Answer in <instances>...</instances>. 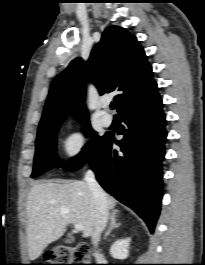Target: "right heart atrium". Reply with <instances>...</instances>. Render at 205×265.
<instances>
[{
  "label": "right heart atrium",
  "instance_id": "d8ad5b80",
  "mask_svg": "<svg viewBox=\"0 0 205 265\" xmlns=\"http://www.w3.org/2000/svg\"><path fill=\"white\" fill-rule=\"evenodd\" d=\"M85 146V136L81 130L70 132L63 140L62 148L65 155L69 158L78 157Z\"/></svg>",
  "mask_w": 205,
  "mask_h": 265
}]
</instances>
